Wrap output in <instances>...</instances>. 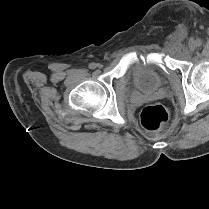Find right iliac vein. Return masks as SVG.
<instances>
[{"instance_id": "63e3f726", "label": "right iliac vein", "mask_w": 209, "mask_h": 209, "mask_svg": "<svg viewBox=\"0 0 209 209\" xmlns=\"http://www.w3.org/2000/svg\"><path fill=\"white\" fill-rule=\"evenodd\" d=\"M98 67L101 68L102 66L100 64H98Z\"/></svg>"}]
</instances>
